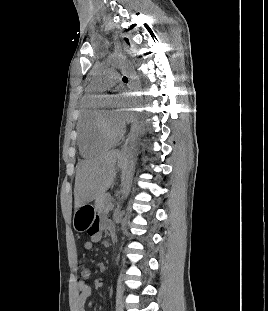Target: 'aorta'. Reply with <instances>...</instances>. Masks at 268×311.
<instances>
[{"label": "aorta", "instance_id": "762f6f07", "mask_svg": "<svg viewBox=\"0 0 268 311\" xmlns=\"http://www.w3.org/2000/svg\"><path fill=\"white\" fill-rule=\"evenodd\" d=\"M108 65L118 68H123L130 83V90L132 96L131 101V121L130 128H132L126 151V164L121 175V194L123 198H127L134 175L135 161L138 156L140 133L142 125V101H143V81L140 78L137 65H129V60L125 55H113L108 60ZM103 103L109 102V97L102 96Z\"/></svg>", "mask_w": 268, "mask_h": 311}]
</instances>
